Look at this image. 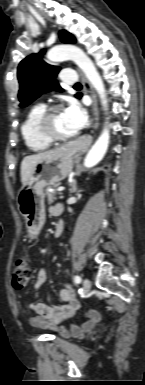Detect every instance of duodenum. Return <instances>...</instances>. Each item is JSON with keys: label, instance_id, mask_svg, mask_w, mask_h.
Returning <instances> with one entry per match:
<instances>
[{"label": "duodenum", "instance_id": "410a0bca", "mask_svg": "<svg viewBox=\"0 0 145 385\" xmlns=\"http://www.w3.org/2000/svg\"><path fill=\"white\" fill-rule=\"evenodd\" d=\"M63 228H64V224L62 221H59L57 224H56V227H55V231H54V234L56 237L60 236L62 231H63Z\"/></svg>", "mask_w": 145, "mask_h": 385}]
</instances>
